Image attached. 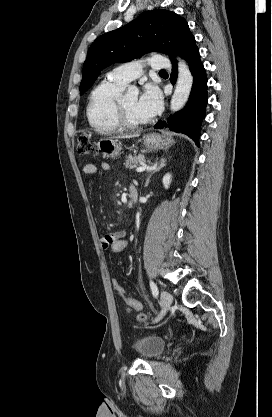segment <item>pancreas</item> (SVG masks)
Segmentation results:
<instances>
[{
	"label": "pancreas",
	"mask_w": 272,
	"mask_h": 417,
	"mask_svg": "<svg viewBox=\"0 0 272 417\" xmlns=\"http://www.w3.org/2000/svg\"><path fill=\"white\" fill-rule=\"evenodd\" d=\"M146 158L144 155H129L125 162L124 165L129 168V169H133L136 168L139 164L145 163Z\"/></svg>",
	"instance_id": "1"
}]
</instances>
